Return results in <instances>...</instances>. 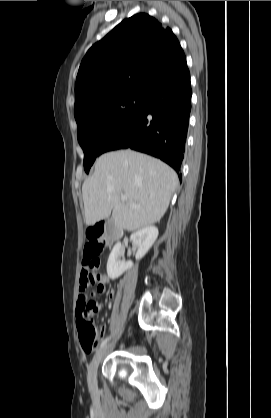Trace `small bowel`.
I'll use <instances>...</instances> for the list:
<instances>
[{"label":"small bowel","instance_id":"1","mask_svg":"<svg viewBox=\"0 0 271 418\" xmlns=\"http://www.w3.org/2000/svg\"><path fill=\"white\" fill-rule=\"evenodd\" d=\"M91 268L89 261L84 259L82 262V271L80 274V291L79 299L77 302V317L80 318L81 314H96L100 306L97 304L96 299H87L85 296L81 297L82 292H85V289L90 284L96 282L98 284L96 291L92 292V297H98L102 295L105 291L106 278L101 274H95L94 280L91 283L88 281L90 276ZM110 297H113V292L109 293ZM84 303V305H82ZM88 353V352H87Z\"/></svg>","mask_w":271,"mask_h":418}]
</instances>
